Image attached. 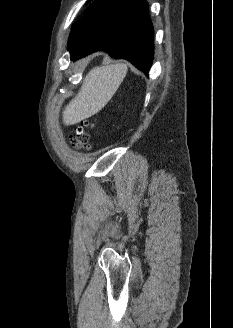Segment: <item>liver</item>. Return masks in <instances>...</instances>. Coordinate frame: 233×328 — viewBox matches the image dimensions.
I'll use <instances>...</instances> for the list:
<instances>
[{
    "label": "liver",
    "mask_w": 233,
    "mask_h": 328,
    "mask_svg": "<svg viewBox=\"0 0 233 328\" xmlns=\"http://www.w3.org/2000/svg\"><path fill=\"white\" fill-rule=\"evenodd\" d=\"M123 63L95 67L86 75L74 99L65 107V125H74L98 113L113 97L127 73Z\"/></svg>",
    "instance_id": "liver-1"
}]
</instances>
